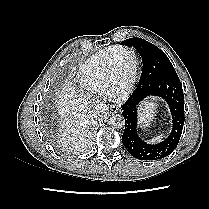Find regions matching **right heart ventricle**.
Returning <instances> with one entry per match:
<instances>
[{"label": "right heart ventricle", "mask_w": 209, "mask_h": 209, "mask_svg": "<svg viewBox=\"0 0 209 209\" xmlns=\"http://www.w3.org/2000/svg\"><path fill=\"white\" fill-rule=\"evenodd\" d=\"M119 46H111L92 55L80 68V86L91 94H105V72L111 54Z\"/></svg>", "instance_id": "right-heart-ventricle-1"}]
</instances>
